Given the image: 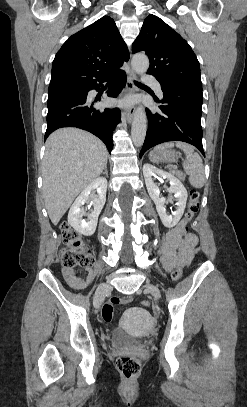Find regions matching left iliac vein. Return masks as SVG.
Instances as JSON below:
<instances>
[{
  "label": "left iliac vein",
  "instance_id": "1",
  "mask_svg": "<svg viewBox=\"0 0 247 407\" xmlns=\"http://www.w3.org/2000/svg\"><path fill=\"white\" fill-rule=\"evenodd\" d=\"M144 288H145V291L152 294L155 298H160V290L155 285L147 284V285H145Z\"/></svg>",
  "mask_w": 247,
  "mask_h": 407
}]
</instances>
